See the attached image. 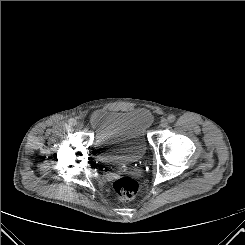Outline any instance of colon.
I'll use <instances>...</instances> for the list:
<instances>
[{"label": "colon", "instance_id": "obj_1", "mask_svg": "<svg viewBox=\"0 0 245 245\" xmlns=\"http://www.w3.org/2000/svg\"><path fill=\"white\" fill-rule=\"evenodd\" d=\"M113 189L120 200L129 201L136 196L138 183L132 177L123 176L113 183Z\"/></svg>", "mask_w": 245, "mask_h": 245}]
</instances>
